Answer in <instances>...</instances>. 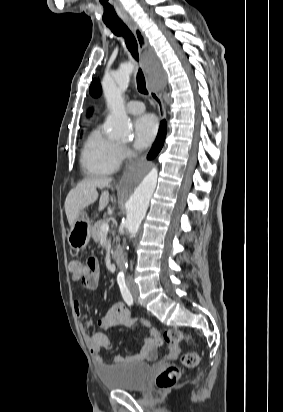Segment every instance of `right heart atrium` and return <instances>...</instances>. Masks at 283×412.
<instances>
[{"instance_id": "1", "label": "right heart atrium", "mask_w": 283, "mask_h": 412, "mask_svg": "<svg viewBox=\"0 0 283 412\" xmlns=\"http://www.w3.org/2000/svg\"><path fill=\"white\" fill-rule=\"evenodd\" d=\"M121 154H122L123 158H126L131 154V150L128 147L123 146V147H121Z\"/></svg>"}]
</instances>
